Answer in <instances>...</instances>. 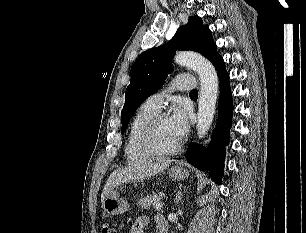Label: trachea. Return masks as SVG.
Listing matches in <instances>:
<instances>
[{
	"mask_svg": "<svg viewBox=\"0 0 306 233\" xmlns=\"http://www.w3.org/2000/svg\"><path fill=\"white\" fill-rule=\"evenodd\" d=\"M190 95H198V91L195 89V90H192L191 92H190Z\"/></svg>",
	"mask_w": 306,
	"mask_h": 233,
	"instance_id": "3493384b",
	"label": "trachea"
}]
</instances>
